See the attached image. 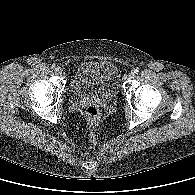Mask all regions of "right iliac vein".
Masks as SVG:
<instances>
[{
  "label": "right iliac vein",
  "mask_w": 195,
  "mask_h": 195,
  "mask_svg": "<svg viewBox=\"0 0 195 195\" xmlns=\"http://www.w3.org/2000/svg\"><path fill=\"white\" fill-rule=\"evenodd\" d=\"M56 73L58 74V75H61L62 74V69L60 68V67H58V68H56Z\"/></svg>",
  "instance_id": "right-iliac-vein-1"
}]
</instances>
